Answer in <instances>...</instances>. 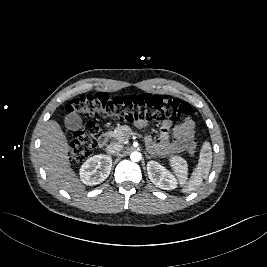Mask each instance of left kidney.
I'll list each match as a JSON object with an SVG mask.
<instances>
[{
  "instance_id": "1",
  "label": "left kidney",
  "mask_w": 267,
  "mask_h": 267,
  "mask_svg": "<svg viewBox=\"0 0 267 267\" xmlns=\"http://www.w3.org/2000/svg\"><path fill=\"white\" fill-rule=\"evenodd\" d=\"M147 173L151 182L163 190H172L177 187V179L164 166L156 161L147 163Z\"/></svg>"
}]
</instances>
